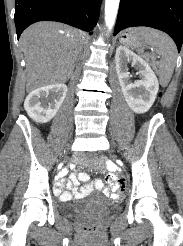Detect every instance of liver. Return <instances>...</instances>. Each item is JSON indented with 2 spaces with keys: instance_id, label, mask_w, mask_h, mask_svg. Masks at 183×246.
I'll return each mask as SVG.
<instances>
[{
  "instance_id": "6515ba94",
  "label": "liver",
  "mask_w": 183,
  "mask_h": 246,
  "mask_svg": "<svg viewBox=\"0 0 183 246\" xmlns=\"http://www.w3.org/2000/svg\"><path fill=\"white\" fill-rule=\"evenodd\" d=\"M83 41L81 30L61 23L39 22L28 27L20 38L26 61V91L68 81Z\"/></svg>"
}]
</instances>
